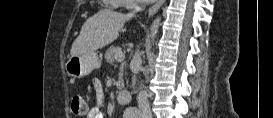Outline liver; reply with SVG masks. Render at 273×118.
<instances>
[{
    "mask_svg": "<svg viewBox=\"0 0 273 118\" xmlns=\"http://www.w3.org/2000/svg\"><path fill=\"white\" fill-rule=\"evenodd\" d=\"M130 18V15L108 9L98 11L83 24L80 34L72 44L71 56L92 53L112 43Z\"/></svg>",
    "mask_w": 273,
    "mask_h": 118,
    "instance_id": "liver-1",
    "label": "liver"
}]
</instances>
